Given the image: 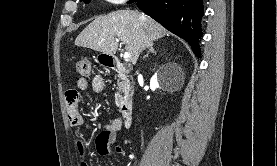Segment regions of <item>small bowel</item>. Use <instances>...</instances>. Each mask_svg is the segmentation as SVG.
Masks as SVG:
<instances>
[{
  "label": "small bowel",
  "instance_id": "c3829d8e",
  "mask_svg": "<svg viewBox=\"0 0 277 166\" xmlns=\"http://www.w3.org/2000/svg\"><path fill=\"white\" fill-rule=\"evenodd\" d=\"M89 86H91L96 95L101 93L105 86L104 78L101 75H95L91 81H89L87 78L81 77L76 82V88L69 90L65 97L70 124L74 127L84 126L87 130H90V126L79 112V103L81 100V92L86 91ZM121 127L122 121L120 119H115L111 124L107 125L100 133H98L95 139V144L97 152L100 155H115L118 157L125 155V151L122 147L114 145L116 133L121 129ZM86 147L87 140L84 137H80L78 139V150L82 156V160L79 166H89L87 161L84 159Z\"/></svg>",
  "mask_w": 277,
  "mask_h": 166
}]
</instances>
